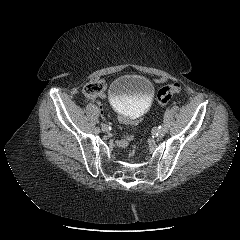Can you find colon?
Returning a JSON list of instances; mask_svg holds the SVG:
<instances>
[{"mask_svg": "<svg viewBox=\"0 0 240 240\" xmlns=\"http://www.w3.org/2000/svg\"><path fill=\"white\" fill-rule=\"evenodd\" d=\"M105 84L101 80H94L87 83L84 87V93L90 98H98L101 93H104ZM181 91L179 83H173L162 87L157 93V100L160 105H165L173 95Z\"/></svg>", "mask_w": 240, "mask_h": 240, "instance_id": "colon-1", "label": "colon"}]
</instances>
